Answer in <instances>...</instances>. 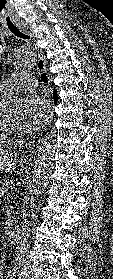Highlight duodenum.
<instances>
[{
  "instance_id": "410a0bca",
  "label": "duodenum",
  "mask_w": 113,
  "mask_h": 279,
  "mask_svg": "<svg viewBox=\"0 0 113 279\" xmlns=\"http://www.w3.org/2000/svg\"><path fill=\"white\" fill-rule=\"evenodd\" d=\"M21 238V226L15 224L11 227L10 240L13 244L18 245Z\"/></svg>"
}]
</instances>
